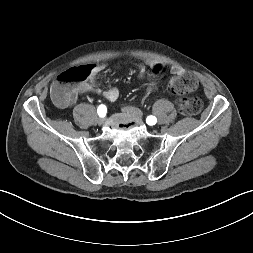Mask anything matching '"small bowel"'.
Masks as SVG:
<instances>
[{"mask_svg":"<svg viewBox=\"0 0 253 253\" xmlns=\"http://www.w3.org/2000/svg\"><path fill=\"white\" fill-rule=\"evenodd\" d=\"M146 64L148 66H150L156 72H161L164 69L163 64H161L159 62H156V61H147ZM105 67L106 66L104 64L93 65L91 67V76H90L89 80L81 82L76 86L75 96H76L77 93H87V92H90V91H95V92L101 94L108 101L113 102V101L117 100V98L119 96V91H118L117 88L111 87V88H108L106 90H101L99 88H96L95 85H94L95 76L99 72L103 71L105 69ZM170 71H171V74L174 77L179 76L180 74H182L184 72V70L181 67H178V66H173ZM145 75H146V67H145V65L141 64L138 68V77L139 78H144ZM75 96H74L71 103L74 102Z\"/></svg>","mask_w":253,"mask_h":253,"instance_id":"small-bowel-1","label":"small bowel"}]
</instances>
